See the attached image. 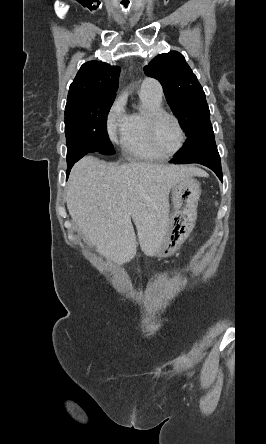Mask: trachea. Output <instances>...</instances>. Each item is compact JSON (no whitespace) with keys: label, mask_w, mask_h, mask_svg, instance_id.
Returning <instances> with one entry per match:
<instances>
[{"label":"trachea","mask_w":266,"mask_h":444,"mask_svg":"<svg viewBox=\"0 0 266 444\" xmlns=\"http://www.w3.org/2000/svg\"><path fill=\"white\" fill-rule=\"evenodd\" d=\"M123 5H124L125 7H127V6H128V2H127V3H123Z\"/></svg>","instance_id":"3493384b"}]
</instances>
